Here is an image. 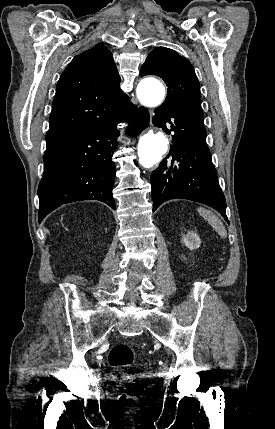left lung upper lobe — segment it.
Masks as SVG:
<instances>
[{
    "label": "left lung upper lobe",
    "mask_w": 275,
    "mask_h": 429,
    "mask_svg": "<svg viewBox=\"0 0 275 429\" xmlns=\"http://www.w3.org/2000/svg\"><path fill=\"white\" fill-rule=\"evenodd\" d=\"M149 74L161 77L168 86L164 105L203 122L199 81L186 58L172 49L157 47L149 53L140 70L141 77Z\"/></svg>",
    "instance_id": "1"
}]
</instances>
